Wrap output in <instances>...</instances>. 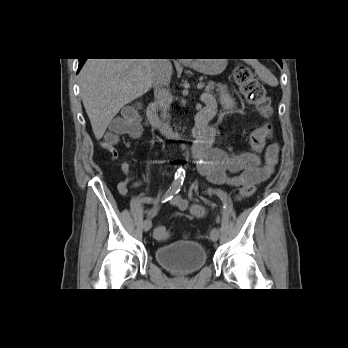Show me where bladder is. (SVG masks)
Masks as SVG:
<instances>
[{"instance_id":"obj_1","label":"bladder","mask_w":348,"mask_h":348,"mask_svg":"<svg viewBox=\"0 0 348 348\" xmlns=\"http://www.w3.org/2000/svg\"><path fill=\"white\" fill-rule=\"evenodd\" d=\"M157 262L169 272L189 275L198 271L207 261L208 252L199 243L175 241L155 249Z\"/></svg>"}]
</instances>
